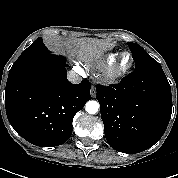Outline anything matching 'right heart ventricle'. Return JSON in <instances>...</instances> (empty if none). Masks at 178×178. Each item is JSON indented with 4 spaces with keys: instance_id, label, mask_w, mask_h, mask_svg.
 Wrapping results in <instances>:
<instances>
[{
    "instance_id": "obj_1",
    "label": "right heart ventricle",
    "mask_w": 178,
    "mask_h": 178,
    "mask_svg": "<svg viewBox=\"0 0 178 178\" xmlns=\"http://www.w3.org/2000/svg\"><path fill=\"white\" fill-rule=\"evenodd\" d=\"M118 56L119 53H109L103 58L102 63L104 65H111L117 59Z\"/></svg>"
}]
</instances>
